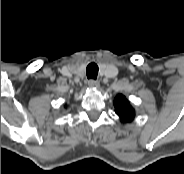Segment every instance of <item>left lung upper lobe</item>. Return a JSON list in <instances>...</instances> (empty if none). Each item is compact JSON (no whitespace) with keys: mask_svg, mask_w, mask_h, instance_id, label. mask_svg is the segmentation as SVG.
<instances>
[{"mask_svg":"<svg viewBox=\"0 0 184 174\" xmlns=\"http://www.w3.org/2000/svg\"><path fill=\"white\" fill-rule=\"evenodd\" d=\"M113 104L115 107V113L123 123H129L134 120L135 110L123 94H118L114 98Z\"/></svg>","mask_w":184,"mask_h":174,"instance_id":"5c2ea615","label":"left lung upper lobe"}]
</instances>
